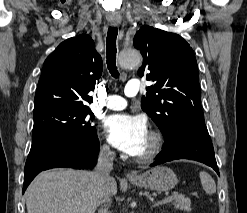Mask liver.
Here are the masks:
<instances>
[{
  "label": "liver",
  "mask_w": 247,
  "mask_h": 213,
  "mask_svg": "<svg viewBox=\"0 0 247 213\" xmlns=\"http://www.w3.org/2000/svg\"><path fill=\"white\" fill-rule=\"evenodd\" d=\"M102 184L95 172L52 169L40 173L26 190L27 213H95ZM117 193L114 178L109 183Z\"/></svg>",
  "instance_id": "obj_1"
}]
</instances>
